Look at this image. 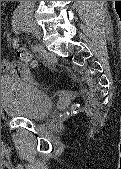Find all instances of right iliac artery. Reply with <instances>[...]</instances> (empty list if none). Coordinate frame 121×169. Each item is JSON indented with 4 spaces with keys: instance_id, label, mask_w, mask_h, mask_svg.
Masks as SVG:
<instances>
[{
    "instance_id": "1",
    "label": "right iliac artery",
    "mask_w": 121,
    "mask_h": 169,
    "mask_svg": "<svg viewBox=\"0 0 121 169\" xmlns=\"http://www.w3.org/2000/svg\"><path fill=\"white\" fill-rule=\"evenodd\" d=\"M22 19H23V10L21 7H18L14 11L13 20H12L13 28L16 34H19L20 33L19 31L21 29L26 28L23 24Z\"/></svg>"
}]
</instances>
